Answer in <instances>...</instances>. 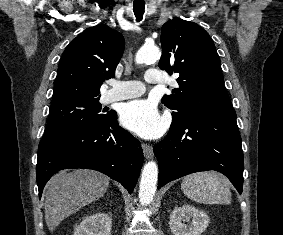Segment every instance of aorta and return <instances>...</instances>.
<instances>
[{"instance_id":"1","label":"aorta","mask_w":283,"mask_h":235,"mask_svg":"<svg viewBox=\"0 0 283 235\" xmlns=\"http://www.w3.org/2000/svg\"><path fill=\"white\" fill-rule=\"evenodd\" d=\"M161 53L157 46H143L136 54L137 64H144L156 61ZM158 180V166L156 162L149 161L145 164L140 180L139 201L142 205H148L152 202Z\"/></svg>"}]
</instances>
